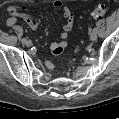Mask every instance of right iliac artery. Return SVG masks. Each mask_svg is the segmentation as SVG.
I'll return each mask as SVG.
<instances>
[{
  "mask_svg": "<svg viewBox=\"0 0 119 119\" xmlns=\"http://www.w3.org/2000/svg\"><path fill=\"white\" fill-rule=\"evenodd\" d=\"M27 39L26 38H22L21 42L24 43Z\"/></svg>",
  "mask_w": 119,
  "mask_h": 119,
  "instance_id": "1",
  "label": "right iliac artery"
}]
</instances>
